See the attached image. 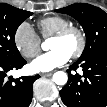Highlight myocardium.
<instances>
[{
	"instance_id": "1",
	"label": "myocardium",
	"mask_w": 107,
	"mask_h": 107,
	"mask_svg": "<svg viewBox=\"0 0 107 107\" xmlns=\"http://www.w3.org/2000/svg\"><path fill=\"white\" fill-rule=\"evenodd\" d=\"M71 33H76L79 36V40H80L79 46L70 55L71 58L75 59V58L80 57L83 54V52L85 51L86 45H87V37H86V33L83 30V28L71 24L69 26L62 28L58 32H56L52 36V39H64L65 37H67Z\"/></svg>"
}]
</instances>
